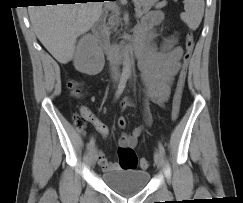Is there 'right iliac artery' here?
<instances>
[{"label": "right iliac artery", "mask_w": 243, "mask_h": 203, "mask_svg": "<svg viewBox=\"0 0 243 203\" xmlns=\"http://www.w3.org/2000/svg\"><path fill=\"white\" fill-rule=\"evenodd\" d=\"M126 82H127V77L126 76H122L118 85V88L116 90L115 96H114V101L117 100L120 95L122 94L125 86H126ZM95 145V139L92 138L89 142V149L93 148Z\"/></svg>", "instance_id": "82829eb1"}]
</instances>
